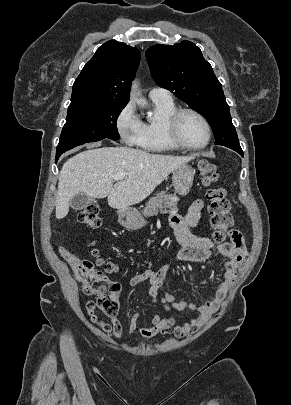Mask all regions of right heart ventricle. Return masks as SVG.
Instances as JSON below:
<instances>
[{
	"label": "right heart ventricle",
	"instance_id": "obj_1",
	"mask_svg": "<svg viewBox=\"0 0 291 405\" xmlns=\"http://www.w3.org/2000/svg\"><path fill=\"white\" fill-rule=\"evenodd\" d=\"M154 117L142 122V133L138 146L149 152H174L180 148L169 139L166 123L168 117L177 110L173 100H152Z\"/></svg>",
	"mask_w": 291,
	"mask_h": 405
}]
</instances>
